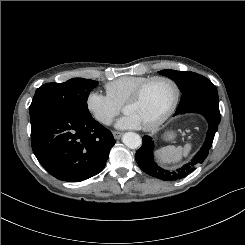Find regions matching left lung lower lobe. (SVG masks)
<instances>
[{
  "instance_id": "obj_1",
  "label": "left lung lower lobe",
  "mask_w": 245,
  "mask_h": 245,
  "mask_svg": "<svg viewBox=\"0 0 245 245\" xmlns=\"http://www.w3.org/2000/svg\"><path fill=\"white\" fill-rule=\"evenodd\" d=\"M190 112L202 114L209 124L206 140L199 152L189 163L183 165L181 168L176 170H165L164 168L160 167L154 160V143L152 141V137L145 135L142 138V146L135 154L136 162L145 173L164 181H175L186 177L205 160L212 146L215 133L218 130V125L221 120L219 104L198 103L186 107L175 115Z\"/></svg>"
}]
</instances>
